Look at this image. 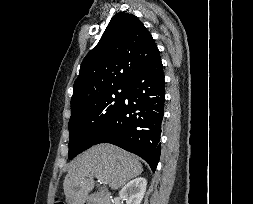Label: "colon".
Here are the masks:
<instances>
[{
	"label": "colon",
	"instance_id": "5ec220e1",
	"mask_svg": "<svg viewBox=\"0 0 253 204\" xmlns=\"http://www.w3.org/2000/svg\"><path fill=\"white\" fill-rule=\"evenodd\" d=\"M54 204H65V202L62 199L56 198Z\"/></svg>",
	"mask_w": 253,
	"mask_h": 204
}]
</instances>
